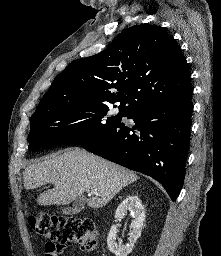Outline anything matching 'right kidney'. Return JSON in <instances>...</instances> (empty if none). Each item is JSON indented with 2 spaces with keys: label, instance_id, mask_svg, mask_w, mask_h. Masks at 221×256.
Here are the masks:
<instances>
[{
  "label": "right kidney",
  "instance_id": "ca27d5eb",
  "mask_svg": "<svg viewBox=\"0 0 221 256\" xmlns=\"http://www.w3.org/2000/svg\"><path fill=\"white\" fill-rule=\"evenodd\" d=\"M127 210L130 211L133 217L128 242L125 245H118L116 243V225H112L107 237L108 248L116 256H127L132 252L137 239L141 236L143 224L145 221L144 207L141 200L137 196L131 195L122 201L116 210L115 222L122 218Z\"/></svg>",
  "mask_w": 221,
  "mask_h": 256
}]
</instances>
